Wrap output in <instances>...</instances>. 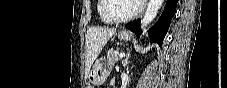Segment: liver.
<instances>
[{"mask_svg": "<svg viewBox=\"0 0 227 88\" xmlns=\"http://www.w3.org/2000/svg\"><path fill=\"white\" fill-rule=\"evenodd\" d=\"M116 33L114 28L91 27L86 34V69L89 70L108 40Z\"/></svg>", "mask_w": 227, "mask_h": 88, "instance_id": "6515ba94", "label": "liver"}]
</instances>
